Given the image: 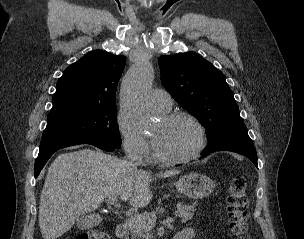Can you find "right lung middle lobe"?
<instances>
[{"mask_svg":"<svg viewBox=\"0 0 304 239\" xmlns=\"http://www.w3.org/2000/svg\"><path fill=\"white\" fill-rule=\"evenodd\" d=\"M88 138L121 146L116 106L79 107L49 113L42 141Z\"/></svg>","mask_w":304,"mask_h":239,"instance_id":"right-lung-middle-lobe-1","label":"right lung middle lobe"}]
</instances>
